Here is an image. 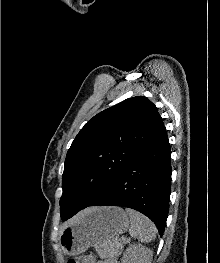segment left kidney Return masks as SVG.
<instances>
[{
  "label": "left kidney",
  "instance_id": "obj_1",
  "mask_svg": "<svg viewBox=\"0 0 220 263\" xmlns=\"http://www.w3.org/2000/svg\"><path fill=\"white\" fill-rule=\"evenodd\" d=\"M152 256V250L133 244L124 253L122 263H151Z\"/></svg>",
  "mask_w": 220,
  "mask_h": 263
}]
</instances>
